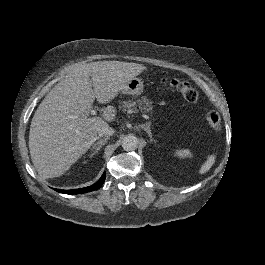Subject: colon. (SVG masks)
Returning <instances> with one entry per match:
<instances>
[{
	"mask_svg": "<svg viewBox=\"0 0 265 265\" xmlns=\"http://www.w3.org/2000/svg\"><path fill=\"white\" fill-rule=\"evenodd\" d=\"M163 83L175 90H177L186 101L194 103L198 100V92L196 89L187 81L180 79H164ZM207 124L213 130H218L221 125V117L217 111H210L207 114Z\"/></svg>",
	"mask_w": 265,
	"mask_h": 265,
	"instance_id": "colon-1",
	"label": "colon"
}]
</instances>
